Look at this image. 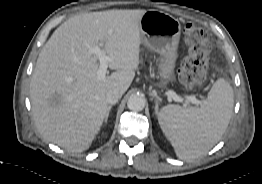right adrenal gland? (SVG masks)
<instances>
[{"instance_id":"right-adrenal-gland-1","label":"right adrenal gland","mask_w":262,"mask_h":184,"mask_svg":"<svg viewBox=\"0 0 262 184\" xmlns=\"http://www.w3.org/2000/svg\"><path fill=\"white\" fill-rule=\"evenodd\" d=\"M111 108H112V105H110V106L108 107V111H107L106 117H105V119H104L105 122H107V120H108V117H109V113H110Z\"/></svg>"}]
</instances>
